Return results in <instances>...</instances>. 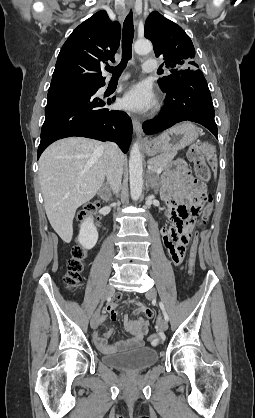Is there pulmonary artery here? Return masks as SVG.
<instances>
[{
    "mask_svg": "<svg viewBox=\"0 0 255 418\" xmlns=\"http://www.w3.org/2000/svg\"><path fill=\"white\" fill-rule=\"evenodd\" d=\"M157 69V61L155 59H147L144 61L143 70L145 72H153ZM126 77L120 78V81H123Z\"/></svg>",
    "mask_w": 255,
    "mask_h": 418,
    "instance_id": "e3ab8cb5",
    "label": "pulmonary artery"
}]
</instances>
